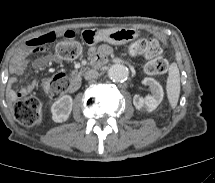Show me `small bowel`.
<instances>
[{"instance_id": "small-bowel-1", "label": "small bowel", "mask_w": 215, "mask_h": 183, "mask_svg": "<svg viewBox=\"0 0 215 183\" xmlns=\"http://www.w3.org/2000/svg\"><path fill=\"white\" fill-rule=\"evenodd\" d=\"M67 32H71V31H65V32L51 31V32H47L41 36L30 39L27 43V47L23 51H21V53L19 54L17 60L15 61L14 65H13V67L11 68V73H12L13 77L9 81V86H12L15 83H17L16 76L23 74L24 71L26 70V68L29 64V62L26 60V55L28 52H37V51H34V48L38 42H44L47 46V45L51 44L57 37H59L62 34H66ZM44 48H42V49H44ZM42 49H40V50H42ZM90 54L92 56H94L96 54V51L94 48H92L90 50ZM57 62H59V60L55 56L44 55V56L37 58L33 62V65L36 67H46V66H49V65H51L53 63H57ZM34 86H35L34 82H31L25 86H22L18 90V92L14 91L12 89H9L8 97L10 100H15L19 97L26 95L30 91H32L34 89Z\"/></svg>"}]
</instances>
